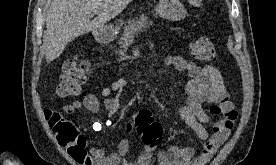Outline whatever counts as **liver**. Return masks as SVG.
<instances>
[{"label":"liver","instance_id":"liver-1","mask_svg":"<svg viewBox=\"0 0 276 165\" xmlns=\"http://www.w3.org/2000/svg\"><path fill=\"white\" fill-rule=\"evenodd\" d=\"M132 0H52L43 36L46 62L58 58L76 37L103 27ZM97 15L92 21V15Z\"/></svg>","mask_w":276,"mask_h":165}]
</instances>
